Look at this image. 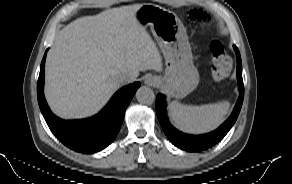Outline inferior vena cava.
Instances as JSON below:
<instances>
[{"label": "inferior vena cava", "instance_id": "1", "mask_svg": "<svg viewBox=\"0 0 292 184\" xmlns=\"http://www.w3.org/2000/svg\"><path fill=\"white\" fill-rule=\"evenodd\" d=\"M131 81H132V78L125 75H121L117 78L118 85H124L126 83H130Z\"/></svg>", "mask_w": 292, "mask_h": 184}]
</instances>
